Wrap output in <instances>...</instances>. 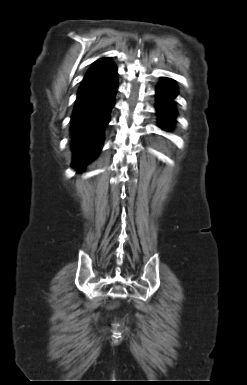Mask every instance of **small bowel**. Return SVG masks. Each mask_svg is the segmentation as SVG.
<instances>
[{
    "label": "small bowel",
    "mask_w": 247,
    "mask_h": 385,
    "mask_svg": "<svg viewBox=\"0 0 247 385\" xmlns=\"http://www.w3.org/2000/svg\"><path fill=\"white\" fill-rule=\"evenodd\" d=\"M116 306V303H112V304H109L108 305V308H113V307H115Z\"/></svg>",
    "instance_id": "small-bowel-1"
}]
</instances>
